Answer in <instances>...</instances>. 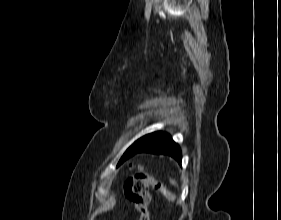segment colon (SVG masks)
<instances>
[{"label":"colon","instance_id":"obj_1","mask_svg":"<svg viewBox=\"0 0 281 220\" xmlns=\"http://www.w3.org/2000/svg\"><path fill=\"white\" fill-rule=\"evenodd\" d=\"M132 168L135 169V173L125 181L124 193L134 203L135 209L139 213V220H150L148 210L150 204L149 188L153 187L170 201L174 200V195L142 167L133 166Z\"/></svg>","mask_w":281,"mask_h":220}]
</instances>
